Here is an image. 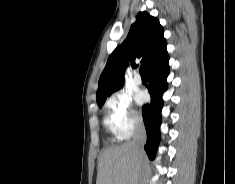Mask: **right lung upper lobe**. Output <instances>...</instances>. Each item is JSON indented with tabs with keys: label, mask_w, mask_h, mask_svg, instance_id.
Wrapping results in <instances>:
<instances>
[{
	"label": "right lung upper lobe",
	"mask_w": 235,
	"mask_h": 184,
	"mask_svg": "<svg viewBox=\"0 0 235 184\" xmlns=\"http://www.w3.org/2000/svg\"><path fill=\"white\" fill-rule=\"evenodd\" d=\"M164 31L157 18L147 12H139L131 25L127 39L110 55L99 79L97 104L103 105L106 98L124 83L125 68L136 60L145 63L146 71L168 56Z\"/></svg>",
	"instance_id": "obj_1"
}]
</instances>
